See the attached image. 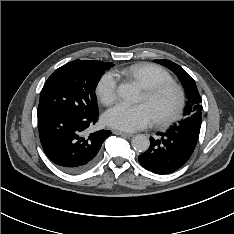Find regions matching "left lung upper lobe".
Segmentation results:
<instances>
[{"label":"left lung upper lobe","instance_id":"1","mask_svg":"<svg viewBox=\"0 0 234 234\" xmlns=\"http://www.w3.org/2000/svg\"><path fill=\"white\" fill-rule=\"evenodd\" d=\"M170 68L179 77L186 93L187 103L183 111V118L173 126L181 127L193 135L199 136L202 118L201 97L195 81L179 65L170 60H155Z\"/></svg>","mask_w":234,"mask_h":234}]
</instances>
